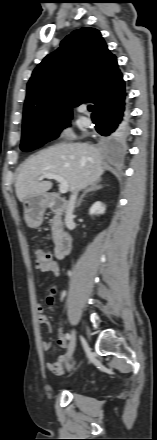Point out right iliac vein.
Here are the masks:
<instances>
[{
    "label": "right iliac vein",
    "mask_w": 157,
    "mask_h": 440,
    "mask_svg": "<svg viewBox=\"0 0 157 440\" xmlns=\"http://www.w3.org/2000/svg\"><path fill=\"white\" fill-rule=\"evenodd\" d=\"M76 338H77V332L76 330L72 331L71 339H70V345L68 349L69 355H73L75 348H76Z\"/></svg>",
    "instance_id": "obj_1"
}]
</instances>
